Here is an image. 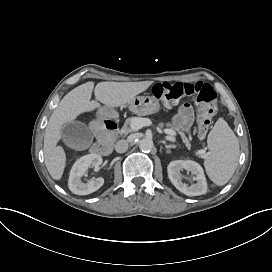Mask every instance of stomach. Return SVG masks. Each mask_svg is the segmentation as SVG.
Here are the masks:
<instances>
[{
    "instance_id": "0dacf381",
    "label": "stomach",
    "mask_w": 272,
    "mask_h": 272,
    "mask_svg": "<svg viewBox=\"0 0 272 272\" xmlns=\"http://www.w3.org/2000/svg\"><path fill=\"white\" fill-rule=\"evenodd\" d=\"M128 108L138 115H150L159 111L158 99L152 96H135L129 103Z\"/></svg>"
}]
</instances>
